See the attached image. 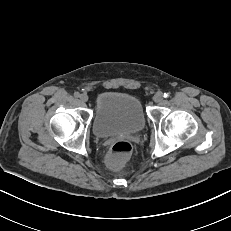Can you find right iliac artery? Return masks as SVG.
Masks as SVG:
<instances>
[{"label":"right iliac artery","mask_w":231,"mask_h":231,"mask_svg":"<svg viewBox=\"0 0 231 231\" xmlns=\"http://www.w3.org/2000/svg\"><path fill=\"white\" fill-rule=\"evenodd\" d=\"M74 96H75V97H80V93H79V92H75V93H74Z\"/></svg>","instance_id":"1"}]
</instances>
